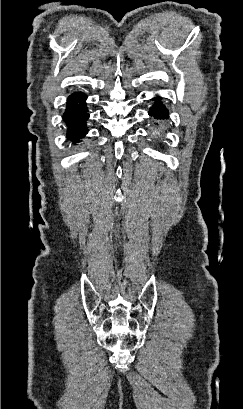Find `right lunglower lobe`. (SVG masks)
<instances>
[{
	"instance_id": "1",
	"label": "right lung lower lobe",
	"mask_w": 243,
	"mask_h": 409,
	"mask_svg": "<svg viewBox=\"0 0 243 409\" xmlns=\"http://www.w3.org/2000/svg\"><path fill=\"white\" fill-rule=\"evenodd\" d=\"M86 99L87 96L84 93L75 92L69 96L67 101V109L63 119L68 125V138L74 141L82 138L88 132L85 126V122L89 118L85 105Z\"/></svg>"
}]
</instances>
